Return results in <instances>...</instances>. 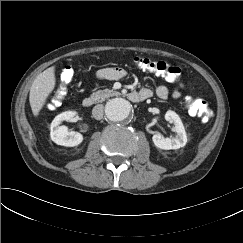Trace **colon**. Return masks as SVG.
<instances>
[{
  "label": "colon",
  "instance_id": "obj_1",
  "mask_svg": "<svg viewBox=\"0 0 243 243\" xmlns=\"http://www.w3.org/2000/svg\"><path fill=\"white\" fill-rule=\"evenodd\" d=\"M133 62L139 68L162 75L170 82L179 80L181 76V70L178 66L164 61H154L146 57L136 56L133 58ZM73 76L74 70L71 66H66L62 70L60 84L49 100L50 107L59 105L62 99L66 96L67 87L72 82ZM188 107L193 114L200 116L203 122H208L212 118V111L205 99L197 98L189 102Z\"/></svg>",
  "mask_w": 243,
  "mask_h": 243
}]
</instances>
